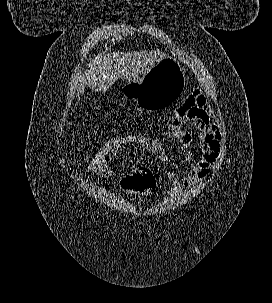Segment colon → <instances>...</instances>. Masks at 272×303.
Masks as SVG:
<instances>
[{
    "label": "colon",
    "instance_id": "1",
    "mask_svg": "<svg viewBox=\"0 0 272 303\" xmlns=\"http://www.w3.org/2000/svg\"><path fill=\"white\" fill-rule=\"evenodd\" d=\"M124 136H116L107 140L94 156L82 165L81 172L86 176H95L111 169L116 155L127 146L123 140ZM155 188L156 178L152 171L147 168L139 169L134 180L133 192L144 194L153 191Z\"/></svg>",
    "mask_w": 272,
    "mask_h": 303
}]
</instances>
